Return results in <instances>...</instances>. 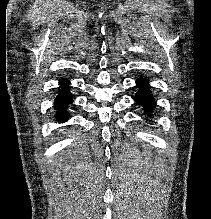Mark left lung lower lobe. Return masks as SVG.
Returning <instances> with one entry per match:
<instances>
[{"instance_id": "0a47b994", "label": "left lung lower lobe", "mask_w": 211, "mask_h": 219, "mask_svg": "<svg viewBox=\"0 0 211 219\" xmlns=\"http://www.w3.org/2000/svg\"><path fill=\"white\" fill-rule=\"evenodd\" d=\"M136 84H138V87H140V90L136 94L135 101L145 107V113L149 116L152 115V109L155 105L154 98L149 92V84L148 80L140 78L136 81Z\"/></svg>"}]
</instances>
